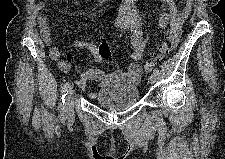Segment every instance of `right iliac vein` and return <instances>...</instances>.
I'll return each instance as SVG.
<instances>
[{
	"label": "right iliac vein",
	"instance_id": "obj_1",
	"mask_svg": "<svg viewBox=\"0 0 225 159\" xmlns=\"http://www.w3.org/2000/svg\"><path fill=\"white\" fill-rule=\"evenodd\" d=\"M74 105V90L70 87L68 89L67 97H66V111L67 113H71L73 111Z\"/></svg>",
	"mask_w": 225,
	"mask_h": 159
}]
</instances>
